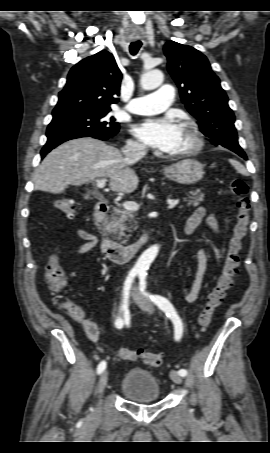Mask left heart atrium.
Returning a JSON list of instances; mask_svg holds the SVG:
<instances>
[{"instance_id": "1", "label": "left heart atrium", "mask_w": 270, "mask_h": 453, "mask_svg": "<svg viewBox=\"0 0 270 453\" xmlns=\"http://www.w3.org/2000/svg\"><path fill=\"white\" fill-rule=\"evenodd\" d=\"M135 135L146 145L167 151L178 134V125L170 117L145 119L134 128Z\"/></svg>"}]
</instances>
